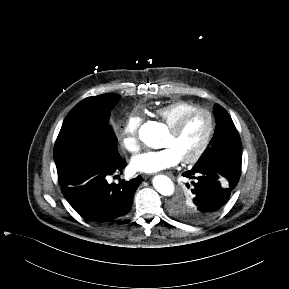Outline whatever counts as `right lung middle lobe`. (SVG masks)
Listing matches in <instances>:
<instances>
[{"label":"right lung middle lobe","instance_id":"right-lung-middle-lobe-1","mask_svg":"<svg viewBox=\"0 0 289 289\" xmlns=\"http://www.w3.org/2000/svg\"><path fill=\"white\" fill-rule=\"evenodd\" d=\"M120 95L88 97L66 116L54 147L57 167L72 161H108L120 154L117 139L108 125L111 107Z\"/></svg>","mask_w":289,"mask_h":289}]
</instances>
